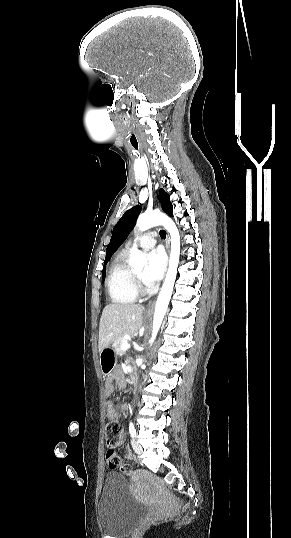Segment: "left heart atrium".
Segmentation results:
<instances>
[{"mask_svg":"<svg viewBox=\"0 0 291 538\" xmlns=\"http://www.w3.org/2000/svg\"><path fill=\"white\" fill-rule=\"evenodd\" d=\"M166 266V257L161 249H154L148 254L147 267L143 274V281L147 286H153L163 276Z\"/></svg>","mask_w":291,"mask_h":538,"instance_id":"obj_1","label":"left heart atrium"}]
</instances>
